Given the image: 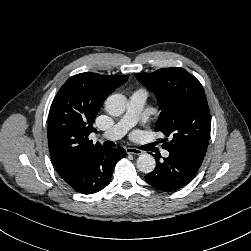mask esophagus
Wrapping results in <instances>:
<instances>
[{
    "mask_svg": "<svg viewBox=\"0 0 251 251\" xmlns=\"http://www.w3.org/2000/svg\"><path fill=\"white\" fill-rule=\"evenodd\" d=\"M126 152L128 154H133V155H141L142 154V151L140 149L133 148V147L126 148Z\"/></svg>",
    "mask_w": 251,
    "mask_h": 251,
    "instance_id": "1",
    "label": "esophagus"
}]
</instances>
